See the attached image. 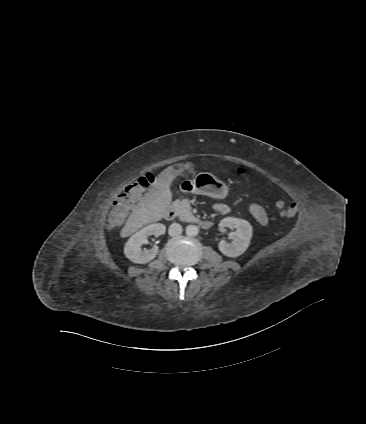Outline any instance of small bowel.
<instances>
[{"label":"small bowel","instance_id":"c3829d8e","mask_svg":"<svg viewBox=\"0 0 366 424\" xmlns=\"http://www.w3.org/2000/svg\"><path fill=\"white\" fill-rule=\"evenodd\" d=\"M214 210L220 214H225L227 206L223 203H217L214 205ZM248 211L258 224L266 225L268 223V215L261 205L252 203L248 206Z\"/></svg>","mask_w":366,"mask_h":424}]
</instances>
